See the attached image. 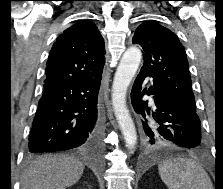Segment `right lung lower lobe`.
<instances>
[{"label":"right lung lower lobe","mask_w":223,"mask_h":189,"mask_svg":"<svg viewBox=\"0 0 223 189\" xmlns=\"http://www.w3.org/2000/svg\"><path fill=\"white\" fill-rule=\"evenodd\" d=\"M102 73L94 77L44 84L32 123L29 154L96 147L101 137L98 92Z\"/></svg>","instance_id":"obj_1"}]
</instances>
